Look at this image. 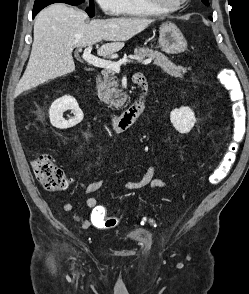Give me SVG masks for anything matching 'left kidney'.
<instances>
[{
  "label": "left kidney",
  "instance_id": "left-kidney-1",
  "mask_svg": "<svg viewBox=\"0 0 249 294\" xmlns=\"http://www.w3.org/2000/svg\"><path fill=\"white\" fill-rule=\"evenodd\" d=\"M170 120L174 128L182 134H187L193 128L196 118L189 107H180L170 113Z\"/></svg>",
  "mask_w": 249,
  "mask_h": 294
}]
</instances>
